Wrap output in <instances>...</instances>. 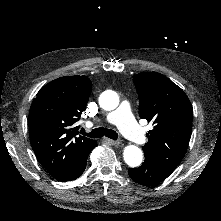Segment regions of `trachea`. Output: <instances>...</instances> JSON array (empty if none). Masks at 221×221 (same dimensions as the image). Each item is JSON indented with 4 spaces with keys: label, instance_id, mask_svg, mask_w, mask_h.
I'll return each mask as SVG.
<instances>
[{
    "label": "trachea",
    "instance_id": "1",
    "mask_svg": "<svg viewBox=\"0 0 221 221\" xmlns=\"http://www.w3.org/2000/svg\"><path fill=\"white\" fill-rule=\"evenodd\" d=\"M80 132H81V134H85L86 136H88L90 138H101L103 136H106L108 138L116 140L118 137V134L114 130L108 129V128H103V127L95 128L89 133H86L85 129L81 128Z\"/></svg>",
    "mask_w": 221,
    "mask_h": 221
}]
</instances>
